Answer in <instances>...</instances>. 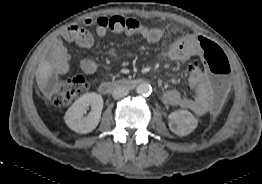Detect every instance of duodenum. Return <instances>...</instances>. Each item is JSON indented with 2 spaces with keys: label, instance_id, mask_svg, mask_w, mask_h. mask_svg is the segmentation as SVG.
Returning <instances> with one entry per match:
<instances>
[{
  "label": "duodenum",
  "instance_id": "410a0bca",
  "mask_svg": "<svg viewBox=\"0 0 262 184\" xmlns=\"http://www.w3.org/2000/svg\"><path fill=\"white\" fill-rule=\"evenodd\" d=\"M142 83V79H121L119 81H104L99 85L102 94H109L116 88H132Z\"/></svg>",
  "mask_w": 262,
  "mask_h": 184
}]
</instances>
